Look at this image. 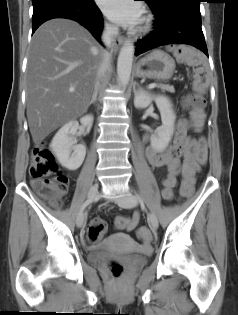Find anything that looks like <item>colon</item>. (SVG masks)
<instances>
[{
  "label": "colon",
  "mask_w": 238,
  "mask_h": 315,
  "mask_svg": "<svg viewBox=\"0 0 238 315\" xmlns=\"http://www.w3.org/2000/svg\"><path fill=\"white\" fill-rule=\"evenodd\" d=\"M171 51L175 58L181 62L188 63L194 68L195 72V92L187 97V103L192 108L191 118L196 131H200L204 123L203 107L205 100L202 96L206 88L208 75L207 64L201 54L184 46H173ZM32 186L43 197L51 200L59 206L60 198L68 188V178L60 172L52 152L45 143L37 145L33 152L29 168ZM194 189L193 182H184L181 185V196L189 197ZM128 218L119 216L115 219V226L124 229L128 225ZM106 224L101 219L91 221L88 228V239L91 242L99 240L105 233ZM138 235L143 240L150 239V231L147 227H141ZM110 270L115 277L122 273L120 264L114 262L110 265Z\"/></svg>",
  "instance_id": "colon-1"
}]
</instances>
